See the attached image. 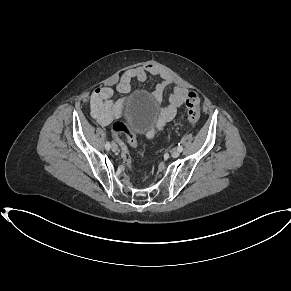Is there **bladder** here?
Segmentation results:
<instances>
[{
    "label": "bladder",
    "mask_w": 291,
    "mask_h": 291,
    "mask_svg": "<svg viewBox=\"0 0 291 291\" xmlns=\"http://www.w3.org/2000/svg\"><path fill=\"white\" fill-rule=\"evenodd\" d=\"M139 102H144L146 104L152 103L150 97L144 93H135L132 96H130L127 100V108L125 110V116L127 118L126 125L132 131H138L142 134H146L151 128L150 123L148 121H143L131 107L132 104Z\"/></svg>",
    "instance_id": "bladder-1"
}]
</instances>
